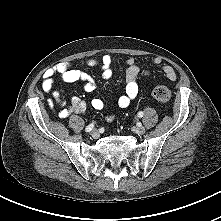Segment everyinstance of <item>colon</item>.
<instances>
[{"instance_id": "1", "label": "colon", "mask_w": 221, "mask_h": 221, "mask_svg": "<svg viewBox=\"0 0 221 221\" xmlns=\"http://www.w3.org/2000/svg\"><path fill=\"white\" fill-rule=\"evenodd\" d=\"M152 97L162 103H166L170 100L171 97V92L169 90L168 87L160 85V86H156L153 90H152Z\"/></svg>"}]
</instances>
